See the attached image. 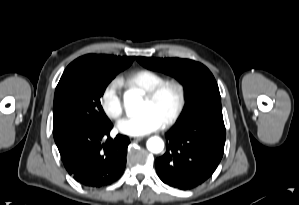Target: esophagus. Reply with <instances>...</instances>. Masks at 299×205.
<instances>
[{
    "label": "esophagus",
    "mask_w": 299,
    "mask_h": 205,
    "mask_svg": "<svg viewBox=\"0 0 299 205\" xmlns=\"http://www.w3.org/2000/svg\"><path fill=\"white\" fill-rule=\"evenodd\" d=\"M129 139L131 142H138L142 140V137H130Z\"/></svg>",
    "instance_id": "1"
}]
</instances>
